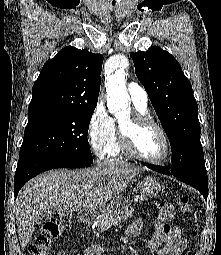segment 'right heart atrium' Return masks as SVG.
Returning <instances> with one entry per match:
<instances>
[{
	"instance_id": "right-heart-atrium-1",
	"label": "right heart atrium",
	"mask_w": 221,
	"mask_h": 255,
	"mask_svg": "<svg viewBox=\"0 0 221 255\" xmlns=\"http://www.w3.org/2000/svg\"><path fill=\"white\" fill-rule=\"evenodd\" d=\"M114 119L102 103H98L87 124L86 134L92 152L99 158L104 156L105 146L114 128Z\"/></svg>"
}]
</instances>
